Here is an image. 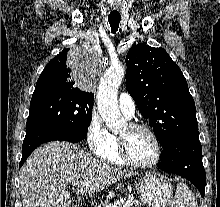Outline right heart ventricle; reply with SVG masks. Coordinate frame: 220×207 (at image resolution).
Wrapping results in <instances>:
<instances>
[{"instance_id":"right-heart-ventricle-1","label":"right heart ventricle","mask_w":220,"mask_h":207,"mask_svg":"<svg viewBox=\"0 0 220 207\" xmlns=\"http://www.w3.org/2000/svg\"><path fill=\"white\" fill-rule=\"evenodd\" d=\"M100 159L115 165H124L117 148V137L112 135L109 144L101 151L95 153Z\"/></svg>"}]
</instances>
